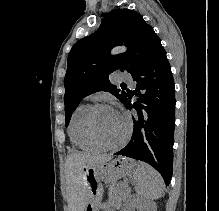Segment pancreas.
Returning a JSON list of instances; mask_svg holds the SVG:
<instances>
[{
    "label": "pancreas",
    "mask_w": 219,
    "mask_h": 211,
    "mask_svg": "<svg viewBox=\"0 0 219 211\" xmlns=\"http://www.w3.org/2000/svg\"><path fill=\"white\" fill-rule=\"evenodd\" d=\"M113 187V186H112ZM110 188V197L107 198V204L105 202H98L97 207H118L119 203H121L122 200L127 199V193L125 192V187L126 186H115L116 188ZM119 187V188H117ZM115 211L117 210L116 208L114 209Z\"/></svg>",
    "instance_id": "1"
}]
</instances>
